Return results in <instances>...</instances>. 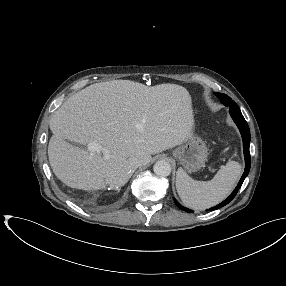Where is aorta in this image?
Segmentation results:
<instances>
[{
	"label": "aorta",
	"instance_id": "aorta-1",
	"mask_svg": "<svg viewBox=\"0 0 286 286\" xmlns=\"http://www.w3.org/2000/svg\"><path fill=\"white\" fill-rule=\"evenodd\" d=\"M154 173L160 177H167L171 173V165L165 160L157 161L153 166Z\"/></svg>",
	"mask_w": 286,
	"mask_h": 286
}]
</instances>
